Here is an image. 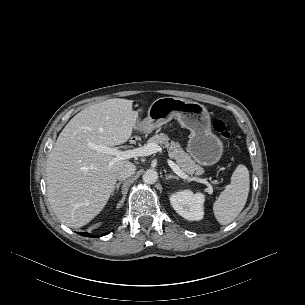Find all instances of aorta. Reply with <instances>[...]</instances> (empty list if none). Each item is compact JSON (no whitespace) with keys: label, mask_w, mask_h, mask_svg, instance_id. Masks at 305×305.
Listing matches in <instances>:
<instances>
[{"label":"aorta","mask_w":305,"mask_h":305,"mask_svg":"<svg viewBox=\"0 0 305 305\" xmlns=\"http://www.w3.org/2000/svg\"><path fill=\"white\" fill-rule=\"evenodd\" d=\"M158 179V173L153 169H148L143 174V181L147 184H154Z\"/></svg>","instance_id":"aorta-1"}]
</instances>
